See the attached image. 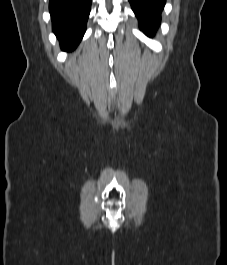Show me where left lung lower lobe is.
<instances>
[{
	"label": "left lung lower lobe",
	"instance_id": "left-lung-lower-lobe-1",
	"mask_svg": "<svg viewBox=\"0 0 227 265\" xmlns=\"http://www.w3.org/2000/svg\"><path fill=\"white\" fill-rule=\"evenodd\" d=\"M139 20L140 28L148 36H152L161 20V11L166 0H129Z\"/></svg>",
	"mask_w": 227,
	"mask_h": 265
}]
</instances>
